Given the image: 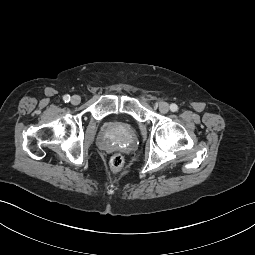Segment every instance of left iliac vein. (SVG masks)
<instances>
[{"instance_id": "1", "label": "left iliac vein", "mask_w": 255, "mask_h": 255, "mask_svg": "<svg viewBox=\"0 0 255 255\" xmlns=\"http://www.w3.org/2000/svg\"><path fill=\"white\" fill-rule=\"evenodd\" d=\"M159 111L166 114L169 111V105L166 102H161L159 104Z\"/></svg>"}]
</instances>
